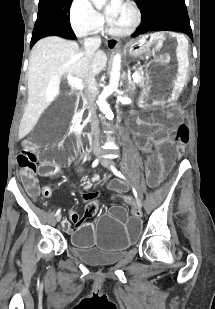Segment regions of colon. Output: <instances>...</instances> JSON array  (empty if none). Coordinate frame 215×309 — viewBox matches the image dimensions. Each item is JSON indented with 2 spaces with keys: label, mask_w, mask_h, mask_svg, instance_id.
<instances>
[{
  "label": "colon",
  "mask_w": 215,
  "mask_h": 309,
  "mask_svg": "<svg viewBox=\"0 0 215 309\" xmlns=\"http://www.w3.org/2000/svg\"><path fill=\"white\" fill-rule=\"evenodd\" d=\"M175 141L181 146H185L189 141V129L185 124H180L177 128L175 135ZM18 163L20 167L25 171H33L36 168V163L39 159V155L36 152H23L18 155ZM55 161L51 158L45 157L41 161L40 172L45 174H53L56 171ZM42 194L44 197L49 198L52 194V189L50 186H45L43 188ZM99 210V202L96 194H90L89 202L85 205V216L92 218L96 216Z\"/></svg>",
  "instance_id": "5ec220e1"
}]
</instances>
